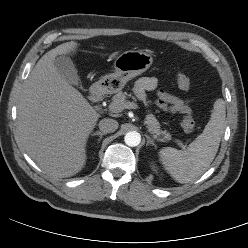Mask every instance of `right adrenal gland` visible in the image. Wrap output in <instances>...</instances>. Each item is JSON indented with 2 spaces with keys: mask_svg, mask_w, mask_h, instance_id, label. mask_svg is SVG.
Segmentation results:
<instances>
[{
  "mask_svg": "<svg viewBox=\"0 0 248 248\" xmlns=\"http://www.w3.org/2000/svg\"><path fill=\"white\" fill-rule=\"evenodd\" d=\"M105 134H106V133H104V132L96 131V132H94V133L92 134V136L98 135V136H99V140H98V141H101L102 136L105 135Z\"/></svg>",
  "mask_w": 248,
  "mask_h": 248,
  "instance_id": "2a0ac1e0",
  "label": "right adrenal gland"
}]
</instances>
